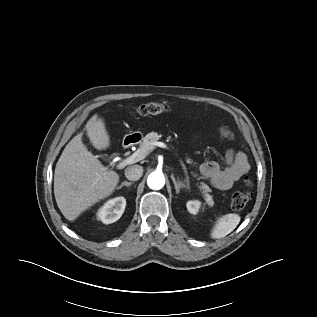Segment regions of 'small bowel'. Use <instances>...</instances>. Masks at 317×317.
<instances>
[{
	"label": "small bowel",
	"instance_id": "small-bowel-1",
	"mask_svg": "<svg viewBox=\"0 0 317 317\" xmlns=\"http://www.w3.org/2000/svg\"><path fill=\"white\" fill-rule=\"evenodd\" d=\"M249 169L247 156L232 149L225 153L223 166L215 161H206L198 166L201 176L220 190L230 189Z\"/></svg>",
	"mask_w": 317,
	"mask_h": 317
}]
</instances>
